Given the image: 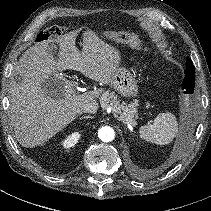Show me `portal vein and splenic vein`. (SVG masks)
<instances>
[{
	"label": "portal vein and splenic vein",
	"instance_id": "1",
	"mask_svg": "<svg viewBox=\"0 0 211 211\" xmlns=\"http://www.w3.org/2000/svg\"><path fill=\"white\" fill-rule=\"evenodd\" d=\"M65 81H67V80H65ZM67 82H69V81H67ZM65 93H66V95H73V94H75V90L72 87V83L71 84L66 83V85H65Z\"/></svg>",
	"mask_w": 211,
	"mask_h": 211
}]
</instances>
